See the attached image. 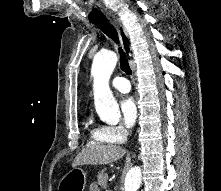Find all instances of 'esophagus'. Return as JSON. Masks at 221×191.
<instances>
[{
  "label": "esophagus",
  "instance_id": "34e87169",
  "mask_svg": "<svg viewBox=\"0 0 221 191\" xmlns=\"http://www.w3.org/2000/svg\"><path fill=\"white\" fill-rule=\"evenodd\" d=\"M108 20L116 28L118 35L120 37L121 43L123 45V48L126 51V53H128V55L130 56L129 38H128V34L123 23L115 15H109Z\"/></svg>",
  "mask_w": 221,
  "mask_h": 191
}]
</instances>
